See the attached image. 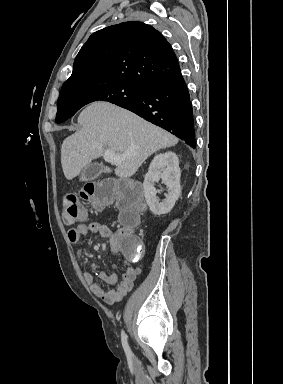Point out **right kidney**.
Returning <instances> with one entry per match:
<instances>
[{
    "label": "right kidney",
    "instance_id": "right-kidney-1",
    "mask_svg": "<svg viewBox=\"0 0 283 384\" xmlns=\"http://www.w3.org/2000/svg\"><path fill=\"white\" fill-rule=\"evenodd\" d=\"M180 176L179 160L174 152L158 154L152 160L143 182L144 196L152 214L162 216V214H168L172 210L181 194ZM160 178L168 188V194L162 202L156 196L159 190L154 188Z\"/></svg>",
    "mask_w": 283,
    "mask_h": 384
}]
</instances>
